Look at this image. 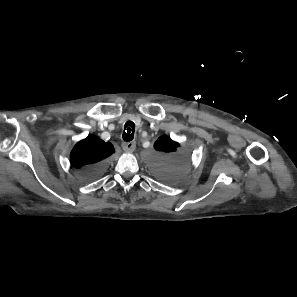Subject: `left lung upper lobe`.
<instances>
[{"mask_svg":"<svg viewBox=\"0 0 297 297\" xmlns=\"http://www.w3.org/2000/svg\"><path fill=\"white\" fill-rule=\"evenodd\" d=\"M179 143L163 135L155 142L157 151L150 157L154 174L164 180L173 181L178 178L185 162V157L176 152Z\"/></svg>","mask_w":297,"mask_h":297,"instance_id":"5c2ea615","label":"left lung upper lobe"}]
</instances>
